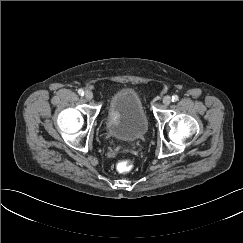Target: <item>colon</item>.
I'll use <instances>...</instances> for the list:
<instances>
[{
    "instance_id": "5ec220e1",
    "label": "colon",
    "mask_w": 243,
    "mask_h": 243,
    "mask_svg": "<svg viewBox=\"0 0 243 243\" xmlns=\"http://www.w3.org/2000/svg\"><path fill=\"white\" fill-rule=\"evenodd\" d=\"M132 168L133 164L130 160H122L116 166L117 171L120 173H127L131 171Z\"/></svg>"
}]
</instances>
